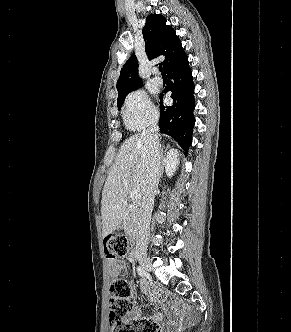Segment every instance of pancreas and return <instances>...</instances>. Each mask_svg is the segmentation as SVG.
Wrapping results in <instances>:
<instances>
[{
    "label": "pancreas",
    "mask_w": 291,
    "mask_h": 332,
    "mask_svg": "<svg viewBox=\"0 0 291 332\" xmlns=\"http://www.w3.org/2000/svg\"><path fill=\"white\" fill-rule=\"evenodd\" d=\"M139 210L138 204H130L125 208L123 218V228L129 233L136 226L137 214Z\"/></svg>",
    "instance_id": "obj_1"
}]
</instances>
